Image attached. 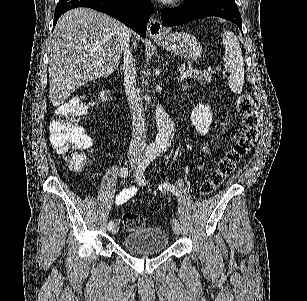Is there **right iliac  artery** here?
Instances as JSON below:
<instances>
[{
	"label": "right iliac artery",
	"instance_id": "82829eb1",
	"mask_svg": "<svg viewBox=\"0 0 307 301\" xmlns=\"http://www.w3.org/2000/svg\"><path fill=\"white\" fill-rule=\"evenodd\" d=\"M120 175H121V177H126L127 175H128V168H126V167H122V168H120ZM113 221H110L109 223H108V230L110 231V230H112V228H113Z\"/></svg>",
	"mask_w": 307,
	"mask_h": 301
}]
</instances>
